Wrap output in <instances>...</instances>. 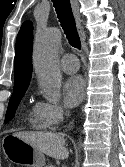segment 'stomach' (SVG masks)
Returning a JSON list of instances; mask_svg holds the SVG:
<instances>
[{
	"mask_svg": "<svg viewBox=\"0 0 125 167\" xmlns=\"http://www.w3.org/2000/svg\"><path fill=\"white\" fill-rule=\"evenodd\" d=\"M3 142L6 157L12 162L27 164L30 167H44V154L20 138L7 136Z\"/></svg>",
	"mask_w": 125,
	"mask_h": 167,
	"instance_id": "1",
	"label": "stomach"
}]
</instances>
